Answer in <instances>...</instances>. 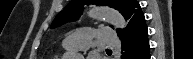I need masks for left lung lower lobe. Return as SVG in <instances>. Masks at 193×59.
Returning a JSON list of instances; mask_svg holds the SVG:
<instances>
[{
	"instance_id": "0a47b994",
	"label": "left lung lower lobe",
	"mask_w": 193,
	"mask_h": 59,
	"mask_svg": "<svg viewBox=\"0 0 193 59\" xmlns=\"http://www.w3.org/2000/svg\"><path fill=\"white\" fill-rule=\"evenodd\" d=\"M125 34H120L125 51L121 59H150V47L146 21L142 12H135Z\"/></svg>"
}]
</instances>
